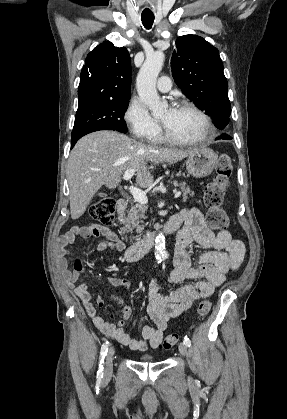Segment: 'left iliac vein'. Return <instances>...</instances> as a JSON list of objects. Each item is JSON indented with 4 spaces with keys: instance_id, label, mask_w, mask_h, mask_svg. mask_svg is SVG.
Here are the masks:
<instances>
[{
    "instance_id": "left-iliac-vein-1",
    "label": "left iliac vein",
    "mask_w": 287,
    "mask_h": 419,
    "mask_svg": "<svg viewBox=\"0 0 287 419\" xmlns=\"http://www.w3.org/2000/svg\"><path fill=\"white\" fill-rule=\"evenodd\" d=\"M179 351L183 356L187 355V345L184 342L179 344Z\"/></svg>"
}]
</instances>
